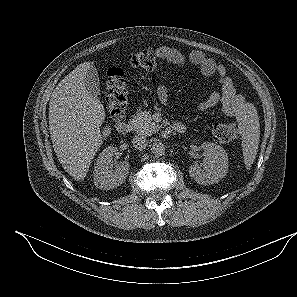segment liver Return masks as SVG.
Returning a JSON list of instances; mask_svg holds the SVG:
<instances>
[{"label": "liver", "mask_w": 297, "mask_h": 297, "mask_svg": "<svg viewBox=\"0 0 297 297\" xmlns=\"http://www.w3.org/2000/svg\"><path fill=\"white\" fill-rule=\"evenodd\" d=\"M93 62H84L54 89L49 102V130L56 156L75 180H83L109 133L100 128L105 120L101 102L84 87V76Z\"/></svg>", "instance_id": "1"}]
</instances>
